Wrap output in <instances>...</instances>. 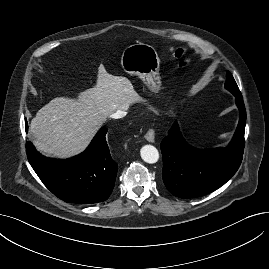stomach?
<instances>
[{
  "label": "stomach",
  "instance_id": "stomach-1",
  "mask_svg": "<svg viewBox=\"0 0 269 269\" xmlns=\"http://www.w3.org/2000/svg\"><path fill=\"white\" fill-rule=\"evenodd\" d=\"M121 65L126 72L137 75L150 88H160V59L153 46L137 43L126 47L121 56Z\"/></svg>",
  "mask_w": 269,
  "mask_h": 269
}]
</instances>
